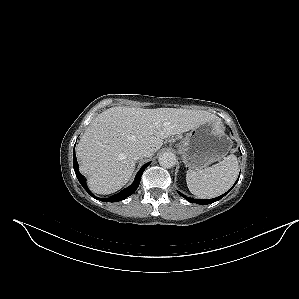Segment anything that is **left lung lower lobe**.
Masks as SVG:
<instances>
[{
	"mask_svg": "<svg viewBox=\"0 0 299 299\" xmlns=\"http://www.w3.org/2000/svg\"><path fill=\"white\" fill-rule=\"evenodd\" d=\"M238 181V180H237ZM237 181L235 182V184L237 183ZM234 184V185H235ZM234 185H233V187H234ZM232 187V188H233ZM231 188V189H232ZM230 189V190H231ZM229 190V191H230ZM228 191V192H229ZM228 192H226V193H224L223 195H221V196H218V197H216V198H213V199H192V198H190V197H186L185 195H183V194H181L180 192H179V194L183 197V198H185L186 200H188L190 203H193V202H195V203H197V204H200V205H207V204H211V203H213V202H215V201H218V200H220L221 198H223Z\"/></svg>",
	"mask_w": 299,
	"mask_h": 299,
	"instance_id": "left-lung-lower-lobe-1",
	"label": "left lung lower lobe"
}]
</instances>
